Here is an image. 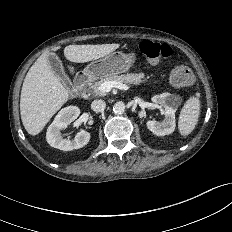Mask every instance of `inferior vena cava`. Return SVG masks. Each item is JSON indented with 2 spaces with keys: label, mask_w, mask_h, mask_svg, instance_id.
<instances>
[{
  "label": "inferior vena cava",
  "mask_w": 232,
  "mask_h": 232,
  "mask_svg": "<svg viewBox=\"0 0 232 232\" xmlns=\"http://www.w3.org/2000/svg\"><path fill=\"white\" fill-rule=\"evenodd\" d=\"M105 107H106V103L101 99L94 100L91 103V108L95 112H102L105 109Z\"/></svg>",
  "instance_id": "inferior-vena-cava-1"
}]
</instances>
